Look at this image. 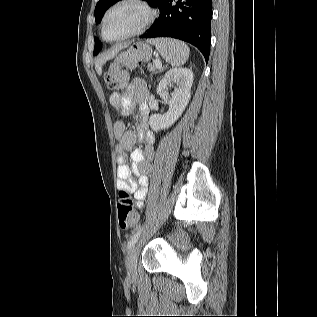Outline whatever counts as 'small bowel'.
<instances>
[{
    "instance_id": "c3829d8e",
    "label": "small bowel",
    "mask_w": 317,
    "mask_h": 317,
    "mask_svg": "<svg viewBox=\"0 0 317 317\" xmlns=\"http://www.w3.org/2000/svg\"><path fill=\"white\" fill-rule=\"evenodd\" d=\"M110 104L123 116L138 113V127L136 133L126 129L125 123L118 120L113 125V133L117 140L115 151L117 154L118 187L133 194L138 208H142L147 197L151 161L154 158L155 136L149 130L148 116V88L144 80L132 79L127 88L121 93L110 96ZM135 138L143 140L145 149L133 148ZM130 153L131 165L126 164L127 154ZM133 176L138 178L136 182Z\"/></svg>"
}]
</instances>
